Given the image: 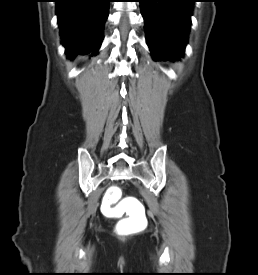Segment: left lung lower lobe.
I'll list each match as a JSON object with an SVG mask.
<instances>
[{
    "label": "left lung lower lobe",
    "mask_w": 258,
    "mask_h": 275,
    "mask_svg": "<svg viewBox=\"0 0 258 275\" xmlns=\"http://www.w3.org/2000/svg\"><path fill=\"white\" fill-rule=\"evenodd\" d=\"M195 0H140L146 41L155 60H178L187 44Z\"/></svg>",
    "instance_id": "left-lung-lower-lobe-1"
}]
</instances>
